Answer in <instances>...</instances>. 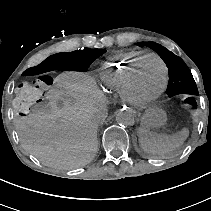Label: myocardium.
Segmentation results:
<instances>
[{"instance_id":"obj_1","label":"myocardium","mask_w":211,"mask_h":211,"mask_svg":"<svg viewBox=\"0 0 211 211\" xmlns=\"http://www.w3.org/2000/svg\"><path fill=\"white\" fill-rule=\"evenodd\" d=\"M148 59H154L160 64V66L162 68V72H163V81H162V85H161L160 89L154 95L149 96V97H141L136 92L135 79H136V75L138 73L139 67L142 65V63L145 60H148ZM139 67L131 70V73L127 80L126 92H125L124 98L127 102H129L130 104H132L135 107L146 108V107L154 104L163 94L165 85H166V81H167V67H166L165 63L163 62V60L154 54L144 55L140 60Z\"/></svg>"}]
</instances>
